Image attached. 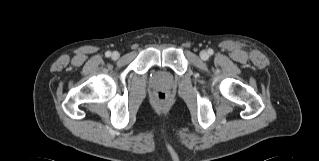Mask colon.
Masks as SVG:
<instances>
[{
  "instance_id": "colon-1",
  "label": "colon",
  "mask_w": 319,
  "mask_h": 161,
  "mask_svg": "<svg viewBox=\"0 0 319 161\" xmlns=\"http://www.w3.org/2000/svg\"><path fill=\"white\" fill-rule=\"evenodd\" d=\"M155 101L158 105H165L168 102V94L164 90H158L155 93Z\"/></svg>"
}]
</instances>
